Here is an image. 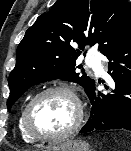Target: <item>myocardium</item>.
Wrapping results in <instances>:
<instances>
[{
    "label": "myocardium",
    "instance_id": "myocardium-1",
    "mask_svg": "<svg viewBox=\"0 0 131 151\" xmlns=\"http://www.w3.org/2000/svg\"><path fill=\"white\" fill-rule=\"evenodd\" d=\"M54 93L63 94L73 102L75 107L74 120L72 124L62 133L52 136L38 135L35 132H33V130L30 127L29 117H30L31 110L39 99H41L46 95L54 94ZM83 119H84V109H83L82 101L80 100L79 96L68 86L55 85L42 89L30 99V101L27 103V105L23 110L22 125L26 135L34 142H58L68 138L74 132H76L81 126Z\"/></svg>",
    "mask_w": 131,
    "mask_h": 151
}]
</instances>
